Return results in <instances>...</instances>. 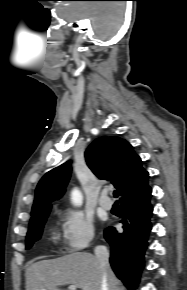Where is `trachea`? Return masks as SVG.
Here are the masks:
<instances>
[{
  "label": "trachea",
  "instance_id": "3493384b",
  "mask_svg": "<svg viewBox=\"0 0 187 290\" xmlns=\"http://www.w3.org/2000/svg\"><path fill=\"white\" fill-rule=\"evenodd\" d=\"M113 194H114V197H115V198H117V197H118V192H117V191H114V193H113Z\"/></svg>",
  "mask_w": 187,
  "mask_h": 290
}]
</instances>
